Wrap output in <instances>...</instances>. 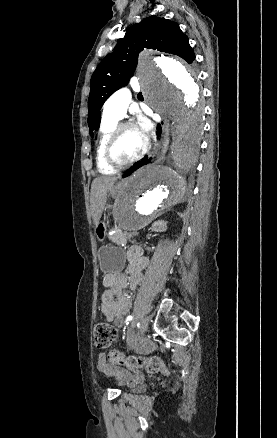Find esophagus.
Wrapping results in <instances>:
<instances>
[{"label": "esophagus", "mask_w": 277, "mask_h": 438, "mask_svg": "<svg viewBox=\"0 0 277 438\" xmlns=\"http://www.w3.org/2000/svg\"><path fill=\"white\" fill-rule=\"evenodd\" d=\"M160 125L162 128V137L159 142L157 155L159 156V159H162L165 156L169 145V121L165 118H162Z\"/></svg>", "instance_id": "34e87169"}]
</instances>
